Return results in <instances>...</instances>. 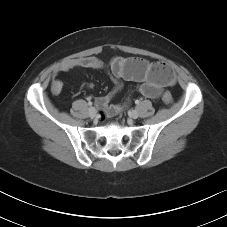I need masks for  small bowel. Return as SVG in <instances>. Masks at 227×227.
I'll return each instance as SVG.
<instances>
[{"label": "small bowel", "instance_id": "1", "mask_svg": "<svg viewBox=\"0 0 227 227\" xmlns=\"http://www.w3.org/2000/svg\"><path fill=\"white\" fill-rule=\"evenodd\" d=\"M75 68L105 69L110 73L114 84L112 90L96 100L97 105L110 116L118 114L129 104V100L122 105L110 104L112 98L122 90L125 81L136 83L139 93L150 99L158 98L162 88L173 82L163 78L151 67V63L141 58L118 56L106 63L97 57L87 56L71 59L54 71L51 83L53 94H59L62 90L63 83L58 75Z\"/></svg>", "mask_w": 227, "mask_h": 227}]
</instances>
